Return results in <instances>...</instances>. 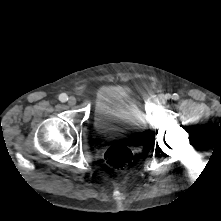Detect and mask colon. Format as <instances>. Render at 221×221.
I'll return each instance as SVG.
<instances>
[{
  "label": "colon",
  "instance_id": "colon-1",
  "mask_svg": "<svg viewBox=\"0 0 221 221\" xmlns=\"http://www.w3.org/2000/svg\"><path fill=\"white\" fill-rule=\"evenodd\" d=\"M132 157L131 150L120 143L109 146L104 154L106 164L116 171L125 170L130 165Z\"/></svg>",
  "mask_w": 221,
  "mask_h": 221
}]
</instances>
